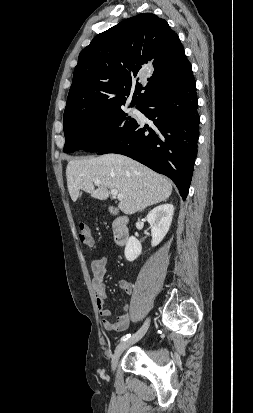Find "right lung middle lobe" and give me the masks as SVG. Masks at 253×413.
<instances>
[{
	"mask_svg": "<svg viewBox=\"0 0 253 413\" xmlns=\"http://www.w3.org/2000/svg\"><path fill=\"white\" fill-rule=\"evenodd\" d=\"M137 121L122 110V107L97 111L74 117L63 123L65 153L77 150L98 152L131 130Z\"/></svg>",
	"mask_w": 253,
	"mask_h": 413,
	"instance_id": "1",
	"label": "right lung middle lobe"
}]
</instances>
